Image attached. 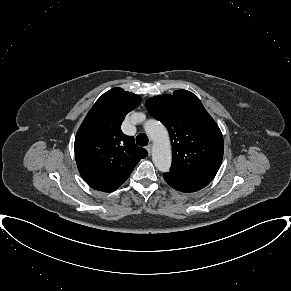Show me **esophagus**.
<instances>
[{"mask_svg": "<svg viewBox=\"0 0 291 291\" xmlns=\"http://www.w3.org/2000/svg\"><path fill=\"white\" fill-rule=\"evenodd\" d=\"M146 149H147L148 153L151 154L152 144L147 145Z\"/></svg>", "mask_w": 291, "mask_h": 291, "instance_id": "34e87169", "label": "esophagus"}]
</instances>
